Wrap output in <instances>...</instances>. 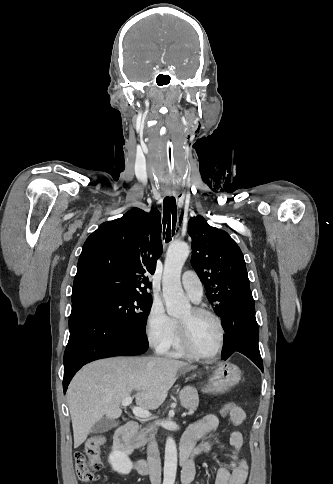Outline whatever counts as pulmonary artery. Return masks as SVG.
I'll return each mask as SVG.
<instances>
[{"instance_id":"e3ab8cb5","label":"pulmonary artery","mask_w":333,"mask_h":484,"mask_svg":"<svg viewBox=\"0 0 333 484\" xmlns=\"http://www.w3.org/2000/svg\"><path fill=\"white\" fill-rule=\"evenodd\" d=\"M187 294L194 302H199L203 296V285L194 271H185L181 279Z\"/></svg>"}]
</instances>
